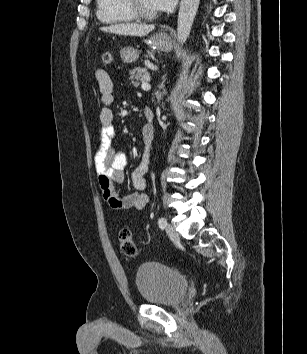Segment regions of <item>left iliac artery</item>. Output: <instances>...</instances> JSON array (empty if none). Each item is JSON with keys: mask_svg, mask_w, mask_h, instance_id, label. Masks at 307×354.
<instances>
[{"mask_svg": "<svg viewBox=\"0 0 307 354\" xmlns=\"http://www.w3.org/2000/svg\"><path fill=\"white\" fill-rule=\"evenodd\" d=\"M158 224H159V227H160L161 229H165L166 226H167V221H166L165 218L161 217V218H159V220H158Z\"/></svg>", "mask_w": 307, "mask_h": 354, "instance_id": "left-iliac-artery-1", "label": "left iliac artery"}]
</instances>
